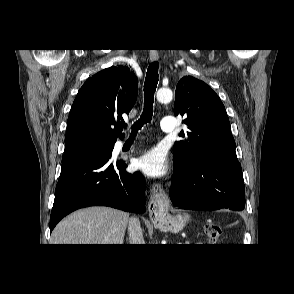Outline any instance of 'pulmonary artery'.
Wrapping results in <instances>:
<instances>
[{
  "label": "pulmonary artery",
  "instance_id": "pulmonary-artery-1",
  "mask_svg": "<svg viewBox=\"0 0 294 294\" xmlns=\"http://www.w3.org/2000/svg\"><path fill=\"white\" fill-rule=\"evenodd\" d=\"M161 129L165 132H172L175 130V118L171 116L163 117L161 120ZM126 140L122 141L124 144Z\"/></svg>",
  "mask_w": 294,
  "mask_h": 294
}]
</instances>
